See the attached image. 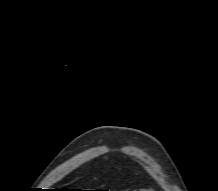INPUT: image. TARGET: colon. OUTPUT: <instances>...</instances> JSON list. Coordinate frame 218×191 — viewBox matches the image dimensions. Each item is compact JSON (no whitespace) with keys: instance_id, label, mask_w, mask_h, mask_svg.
Masks as SVG:
<instances>
[{"instance_id":"5ec220e1","label":"colon","mask_w":218,"mask_h":191,"mask_svg":"<svg viewBox=\"0 0 218 191\" xmlns=\"http://www.w3.org/2000/svg\"><path fill=\"white\" fill-rule=\"evenodd\" d=\"M127 191H152V190L149 188H144V189L127 190Z\"/></svg>"}]
</instances>
